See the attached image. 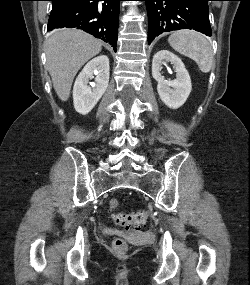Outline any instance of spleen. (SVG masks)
Instances as JSON below:
<instances>
[{"instance_id": "3e777b00", "label": "spleen", "mask_w": 250, "mask_h": 285, "mask_svg": "<svg viewBox=\"0 0 250 285\" xmlns=\"http://www.w3.org/2000/svg\"><path fill=\"white\" fill-rule=\"evenodd\" d=\"M168 42L180 54L194 60L201 72H210L213 64V51L209 40L193 30L174 32Z\"/></svg>"}]
</instances>
